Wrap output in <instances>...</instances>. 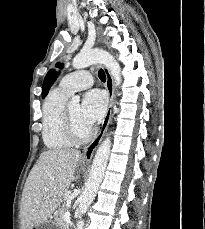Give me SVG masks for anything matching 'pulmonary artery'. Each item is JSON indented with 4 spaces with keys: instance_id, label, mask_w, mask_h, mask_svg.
Here are the masks:
<instances>
[{
    "instance_id": "pulmonary-artery-1",
    "label": "pulmonary artery",
    "mask_w": 205,
    "mask_h": 229,
    "mask_svg": "<svg viewBox=\"0 0 205 229\" xmlns=\"http://www.w3.org/2000/svg\"><path fill=\"white\" fill-rule=\"evenodd\" d=\"M93 84V77L89 71L78 70L67 74L62 78L59 89L72 95L73 93L86 89Z\"/></svg>"
}]
</instances>
